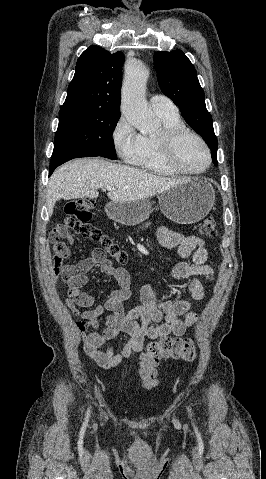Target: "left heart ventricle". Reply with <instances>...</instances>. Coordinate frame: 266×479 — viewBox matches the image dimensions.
<instances>
[{"mask_svg": "<svg viewBox=\"0 0 266 479\" xmlns=\"http://www.w3.org/2000/svg\"><path fill=\"white\" fill-rule=\"evenodd\" d=\"M176 157L180 165L187 170H200L207 164L203 146L192 136H185L178 142Z\"/></svg>", "mask_w": 266, "mask_h": 479, "instance_id": "1", "label": "left heart ventricle"}]
</instances>
